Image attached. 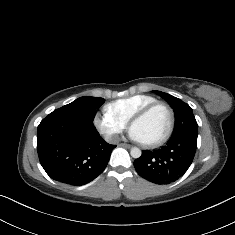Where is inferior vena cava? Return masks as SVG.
I'll list each match as a JSON object with an SVG mask.
<instances>
[{"label": "inferior vena cava", "instance_id": "602c4592", "mask_svg": "<svg viewBox=\"0 0 235 235\" xmlns=\"http://www.w3.org/2000/svg\"><path fill=\"white\" fill-rule=\"evenodd\" d=\"M107 141L112 144H116L119 142V136L118 135H113L108 137Z\"/></svg>", "mask_w": 235, "mask_h": 235}]
</instances>
